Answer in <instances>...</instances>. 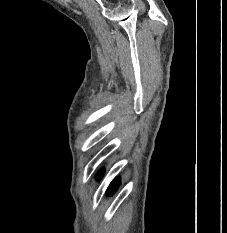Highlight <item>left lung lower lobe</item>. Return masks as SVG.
I'll list each match as a JSON object with an SVG mask.
<instances>
[{
  "label": "left lung lower lobe",
  "mask_w": 227,
  "mask_h": 233,
  "mask_svg": "<svg viewBox=\"0 0 227 233\" xmlns=\"http://www.w3.org/2000/svg\"><path fill=\"white\" fill-rule=\"evenodd\" d=\"M118 183H119L118 179H114L111 182V184H110V186L108 188V191H107L108 195H111L113 193V191H115V189L117 188Z\"/></svg>",
  "instance_id": "obj_1"
}]
</instances>
